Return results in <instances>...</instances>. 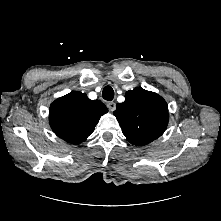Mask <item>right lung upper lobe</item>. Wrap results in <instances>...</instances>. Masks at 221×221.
I'll return each mask as SVG.
<instances>
[{"label":"right lung upper lobe","instance_id":"obj_1","mask_svg":"<svg viewBox=\"0 0 221 221\" xmlns=\"http://www.w3.org/2000/svg\"><path fill=\"white\" fill-rule=\"evenodd\" d=\"M107 112L101 101L90 100L86 94L72 91L51 104L49 122L59 138L79 144L87 139L100 117Z\"/></svg>","mask_w":221,"mask_h":221}]
</instances>
